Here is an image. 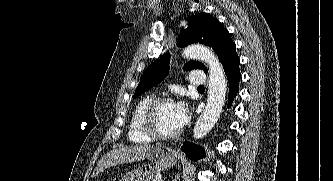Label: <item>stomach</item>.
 Instances as JSON below:
<instances>
[{
    "mask_svg": "<svg viewBox=\"0 0 333 181\" xmlns=\"http://www.w3.org/2000/svg\"><path fill=\"white\" fill-rule=\"evenodd\" d=\"M150 159V163L131 170L119 181H152L157 174L174 166L177 162L176 155L164 152L162 149L154 151Z\"/></svg>",
    "mask_w": 333,
    "mask_h": 181,
    "instance_id": "stomach-1",
    "label": "stomach"
}]
</instances>
